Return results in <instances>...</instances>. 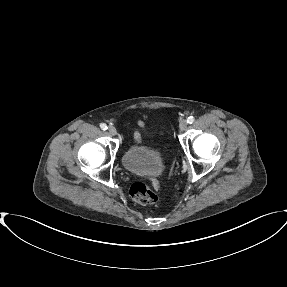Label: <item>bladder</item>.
I'll list each match as a JSON object with an SVG mask.
<instances>
[{
  "mask_svg": "<svg viewBox=\"0 0 287 287\" xmlns=\"http://www.w3.org/2000/svg\"><path fill=\"white\" fill-rule=\"evenodd\" d=\"M123 167L132 174H156L162 170L159 153L147 145H132L122 155Z\"/></svg>",
  "mask_w": 287,
  "mask_h": 287,
  "instance_id": "1",
  "label": "bladder"
}]
</instances>
